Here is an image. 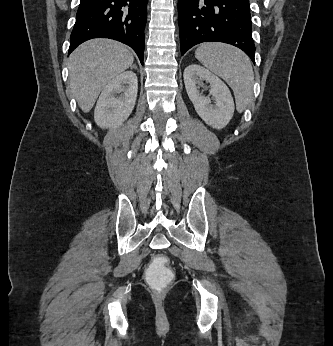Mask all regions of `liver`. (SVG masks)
<instances>
[{
    "label": "liver",
    "mask_w": 333,
    "mask_h": 346,
    "mask_svg": "<svg viewBox=\"0 0 333 346\" xmlns=\"http://www.w3.org/2000/svg\"><path fill=\"white\" fill-rule=\"evenodd\" d=\"M134 61L132 52L110 39H92L69 57V79L73 96L84 113L94 106L100 92Z\"/></svg>",
    "instance_id": "liver-1"
}]
</instances>
